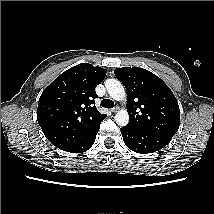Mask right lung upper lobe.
Here are the masks:
<instances>
[{"label": "right lung upper lobe", "instance_id": "cb5924a9", "mask_svg": "<svg viewBox=\"0 0 214 214\" xmlns=\"http://www.w3.org/2000/svg\"><path fill=\"white\" fill-rule=\"evenodd\" d=\"M106 72L101 67L81 63L63 72L42 92L37 120L54 146L70 152L99 128L106 115L94 105L95 87Z\"/></svg>", "mask_w": 214, "mask_h": 214}]
</instances>
